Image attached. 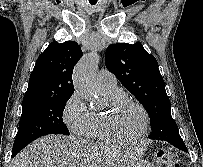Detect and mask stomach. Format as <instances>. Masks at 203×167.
Here are the masks:
<instances>
[{
  "label": "stomach",
  "mask_w": 203,
  "mask_h": 167,
  "mask_svg": "<svg viewBox=\"0 0 203 167\" xmlns=\"http://www.w3.org/2000/svg\"><path fill=\"white\" fill-rule=\"evenodd\" d=\"M131 167H153V165L147 161L138 160Z\"/></svg>",
  "instance_id": "stomach-1"
}]
</instances>
